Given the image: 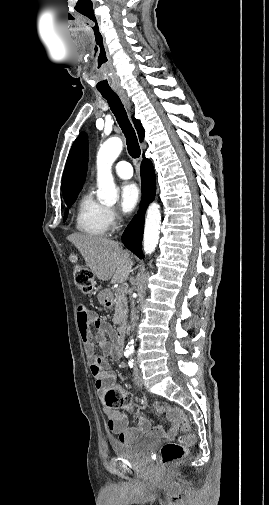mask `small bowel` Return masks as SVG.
Listing matches in <instances>:
<instances>
[{"instance_id":"obj_1","label":"small bowel","mask_w":269,"mask_h":505,"mask_svg":"<svg viewBox=\"0 0 269 505\" xmlns=\"http://www.w3.org/2000/svg\"><path fill=\"white\" fill-rule=\"evenodd\" d=\"M77 319L85 353L90 363V372L95 380V388L99 397L103 399L104 394L112 387L116 379L115 373L109 368L107 357L115 360L119 359L121 357V347L113 340L115 332L112 326L102 320L95 312L80 307L77 312ZM92 328L97 331L95 335ZM95 342L98 343L101 349V355L95 354ZM167 408L169 410L173 409L171 406ZM103 411L107 415L109 430L118 435L121 442H135L152 431L159 436H174L178 432L179 424L172 418L170 413L169 418L172 420L173 425L169 430H166L163 426L152 428L150 420L143 414L138 415L137 425L130 427L128 417L125 414L107 406L105 403Z\"/></svg>"}]
</instances>
